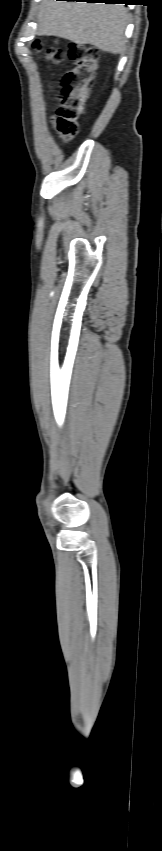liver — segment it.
Returning a JSON list of instances; mask_svg holds the SVG:
<instances>
[{
  "instance_id": "liver-1",
  "label": "liver",
  "mask_w": 162,
  "mask_h": 851,
  "mask_svg": "<svg viewBox=\"0 0 162 851\" xmlns=\"http://www.w3.org/2000/svg\"><path fill=\"white\" fill-rule=\"evenodd\" d=\"M37 21L42 35L90 44L112 54L125 50L127 11L122 5L42 0Z\"/></svg>"
}]
</instances>
